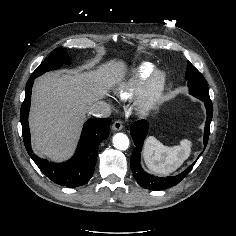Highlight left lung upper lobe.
Wrapping results in <instances>:
<instances>
[{"mask_svg": "<svg viewBox=\"0 0 236 236\" xmlns=\"http://www.w3.org/2000/svg\"><path fill=\"white\" fill-rule=\"evenodd\" d=\"M185 78L191 95L200 100H210L209 89L203 75L190 62L187 65Z\"/></svg>", "mask_w": 236, "mask_h": 236, "instance_id": "5c2ea615", "label": "left lung upper lobe"}]
</instances>
